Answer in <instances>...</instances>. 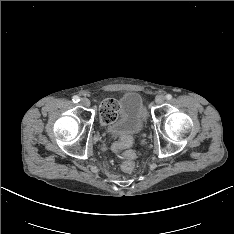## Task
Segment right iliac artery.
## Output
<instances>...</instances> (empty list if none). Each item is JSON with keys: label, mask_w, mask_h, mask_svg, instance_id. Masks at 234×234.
<instances>
[{"label": "right iliac artery", "mask_w": 234, "mask_h": 234, "mask_svg": "<svg viewBox=\"0 0 234 234\" xmlns=\"http://www.w3.org/2000/svg\"><path fill=\"white\" fill-rule=\"evenodd\" d=\"M72 100H73V102L77 103L80 101V98L77 95H75V96H73Z\"/></svg>", "instance_id": "obj_1"}]
</instances>
